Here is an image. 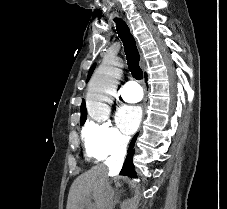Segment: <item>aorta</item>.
<instances>
[{
    "label": "aorta",
    "instance_id": "aorta-1",
    "mask_svg": "<svg viewBox=\"0 0 227 209\" xmlns=\"http://www.w3.org/2000/svg\"><path fill=\"white\" fill-rule=\"evenodd\" d=\"M121 66L120 58L106 57L93 75L87 94V111L93 119L100 120L108 116V103L122 74Z\"/></svg>",
    "mask_w": 227,
    "mask_h": 209
}]
</instances>
